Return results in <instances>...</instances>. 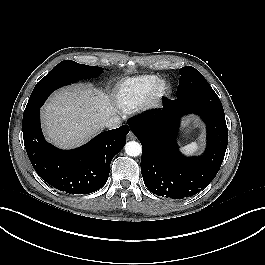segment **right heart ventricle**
I'll return each instance as SVG.
<instances>
[{
	"instance_id": "1",
	"label": "right heart ventricle",
	"mask_w": 265,
	"mask_h": 265,
	"mask_svg": "<svg viewBox=\"0 0 265 265\" xmlns=\"http://www.w3.org/2000/svg\"><path fill=\"white\" fill-rule=\"evenodd\" d=\"M158 80L157 76L143 75L122 81L115 93L116 106L126 112L136 109L147 99Z\"/></svg>"
}]
</instances>
